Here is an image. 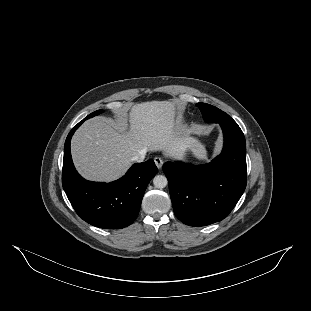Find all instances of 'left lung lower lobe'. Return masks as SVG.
<instances>
[{
  "label": "left lung lower lobe",
  "instance_id": "obj_1",
  "mask_svg": "<svg viewBox=\"0 0 311 311\" xmlns=\"http://www.w3.org/2000/svg\"><path fill=\"white\" fill-rule=\"evenodd\" d=\"M224 147L206 165L179 162L163 164L176 217L190 226H205L223 220L246 188V142L238 124L219 122Z\"/></svg>",
  "mask_w": 311,
  "mask_h": 311
}]
</instances>
